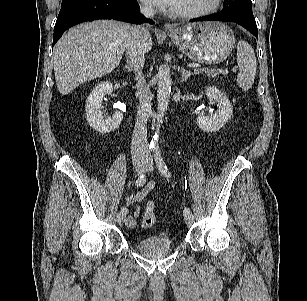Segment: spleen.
<instances>
[{"mask_svg":"<svg viewBox=\"0 0 307 301\" xmlns=\"http://www.w3.org/2000/svg\"><path fill=\"white\" fill-rule=\"evenodd\" d=\"M237 63V83L243 91H248L255 80L257 61L253 48L246 41H240L237 45Z\"/></svg>","mask_w":307,"mask_h":301,"instance_id":"spleen-1","label":"spleen"}]
</instances>
